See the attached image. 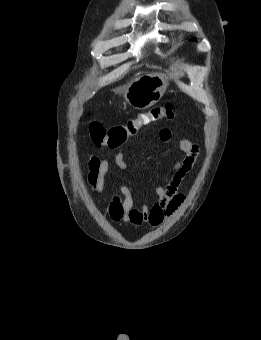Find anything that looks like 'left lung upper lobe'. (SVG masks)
I'll return each instance as SVG.
<instances>
[{
  "instance_id": "obj_1",
  "label": "left lung upper lobe",
  "mask_w": 261,
  "mask_h": 340,
  "mask_svg": "<svg viewBox=\"0 0 261 340\" xmlns=\"http://www.w3.org/2000/svg\"><path fill=\"white\" fill-rule=\"evenodd\" d=\"M191 41H195L196 40V38H192V39H190Z\"/></svg>"
}]
</instances>
